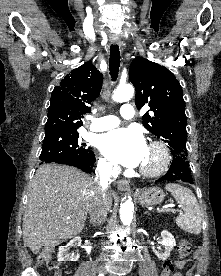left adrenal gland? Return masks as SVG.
Instances as JSON below:
<instances>
[{
  "instance_id": "left-adrenal-gland-1",
  "label": "left adrenal gland",
  "mask_w": 221,
  "mask_h": 276,
  "mask_svg": "<svg viewBox=\"0 0 221 276\" xmlns=\"http://www.w3.org/2000/svg\"><path fill=\"white\" fill-rule=\"evenodd\" d=\"M145 214H148V211H145Z\"/></svg>"
}]
</instances>
